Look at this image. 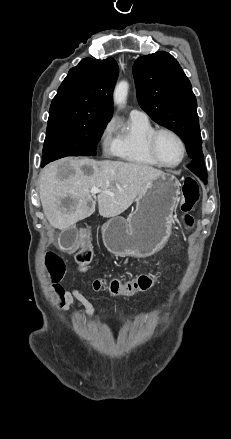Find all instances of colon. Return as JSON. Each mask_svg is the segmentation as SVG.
I'll return each instance as SVG.
<instances>
[{
	"instance_id": "colon-1",
	"label": "colon",
	"mask_w": 231,
	"mask_h": 439,
	"mask_svg": "<svg viewBox=\"0 0 231 439\" xmlns=\"http://www.w3.org/2000/svg\"><path fill=\"white\" fill-rule=\"evenodd\" d=\"M199 199V187L192 178H187L182 188V197L180 200V210L184 213L182 222L186 228H190L193 220L188 213L193 209ZM89 234L87 231L82 232L74 247L75 261L80 271H86L93 259V248L88 243ZM45 264L48 270L49 278L53 284L54 290L59 297L63 294V288L60 281L65 274V263L62 258L56 254L46 256ZM157 275L156 269L142 270L141 275L128 280L121 281L119 279H96L93 281V288L96 291H105L111 296H128L132 298L138 292L145 291L150 288ZM54 311H59V306H54Z\"/></svg>"
}]
</instances>
